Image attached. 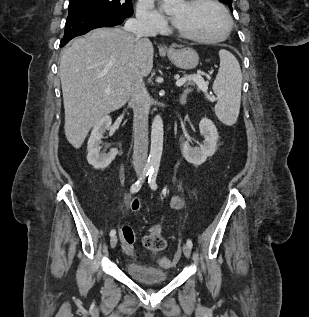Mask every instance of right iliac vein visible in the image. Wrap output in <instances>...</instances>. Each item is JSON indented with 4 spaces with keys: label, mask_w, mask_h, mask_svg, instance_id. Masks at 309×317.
Here are the masks:
<instances>
[{
    "label": "right iliac vein",
    "mask_w": 309,
    "mask_h": 317,
    "mask_svg": "<svg viewBox=\"0 0 309 317\" xmlns=\"http://www.w3.org/2000/svg\"><path fill=\"white\" fill-rule=\"evenodd\" d=\"M137 175L140 176L141 173H140V172H137ZM117 241H118L117 236L114 235V236L111 237V239H110V246H111V248H114V247L116 246Z\"/></svg>",
    "instance_id": "obj_1"
}]
</instances>
